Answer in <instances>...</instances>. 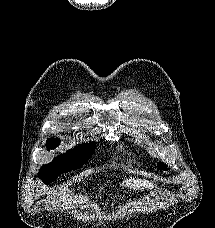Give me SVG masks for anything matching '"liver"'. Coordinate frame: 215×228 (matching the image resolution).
<instances>
[{"mask_svg":"<svg viewBox=\"0 0 215 228\" xmlns=\"http://www.w3.org/2000/svg\"><path fill=\"white\" fill-rule=\"evenodd\" d=\"M120 186H124V188H128L129 192L132 190H145V188H153V184H149L148 180H137V178H125Z\"/></svg>","mask_w":215,"mask_h":228,"instance_id":"liver-1","label":"liver"}]
</instances>
